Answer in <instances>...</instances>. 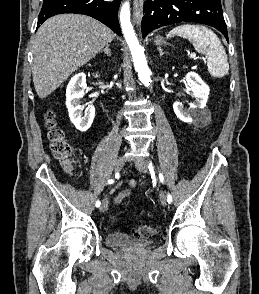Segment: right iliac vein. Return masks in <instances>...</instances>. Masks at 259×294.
<instances>
[{"label":"right iliac vein","mask_w":259,"mask_h":294,"mask_svg":"<svg viewBox=\"0 0 259 294\" xmlns=\"http://www.w3.org/2000/svg\"><path fill=\"white\" fill-rule=\"evenodd\" d=\"M124 163H125L124 157H119L115 162V171L116 172L121 171V169L124 166ZM107 207H108V199L105 198L100 206V212H105L107 210Z\"/></svg>","instance_id":"obj_1"}]
</instances>
